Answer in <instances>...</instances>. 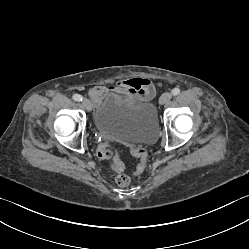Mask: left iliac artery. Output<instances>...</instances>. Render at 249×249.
<instances>
[{
  "label": "left iliac artery",
  "mask_w": 249,
  "mask_h": 249,
  "mask_svg": "<svg viewBox=\"0 0 249 249\" xmlns=\"http://www.w3.org/2000/svg\"><path fill=\"white\" fill-rule=\"evenodd\" d=\"M179 93H180V89L179 88H174L172 90V95H174V96L178 95Z\"/></svg>",
  "instance_id": "44dca946"
}]
</instances>
